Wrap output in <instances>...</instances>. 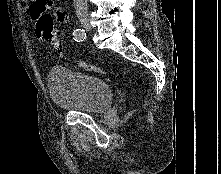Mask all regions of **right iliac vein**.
Segmentation results:
<instances>
[{"label": "right iliac vein", "instance_id": "right-iliac-vein-1", "mask_svg": "<svg viewBox=\"0 0 221 174\" xmlns=\"http://www.w3.org/2000/svg\"><path fill=\"white\" fill-rule=\"evenodd\" d=\"M80 22H81V25L83 26V28H85V30L89 31L91 29L90 22H89L88 18H82L80 20Z\"/></svg>", "mask_w": 221, "mask_h": 174}]
</instances>
